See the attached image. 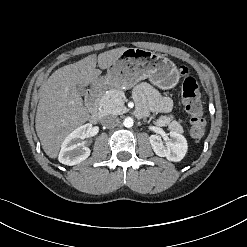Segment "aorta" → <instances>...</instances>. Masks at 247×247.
<instances>
[{
    "mask_svg": "<svg viewBox=\"0 0 247 247\" xmlns=\"http://www.w3.org/2000/svg\"><path fill=\"white\" fill-rule=\"evenodd\" d=\"M133 124H134V121H133V119H132L131 117H127V118H125L124 121H123V125H124L125 127H127V128L132 127Z\"/></svg>",
    "mask_w": 247,
    "mask_h": 247,
    "instance_id": "762f6f07",
    "label": "aorta"
}]
</instances>
